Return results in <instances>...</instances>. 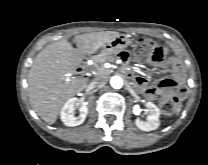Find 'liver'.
<instances>
[{"instance_id": "6515ba94", "label": "liver", "mask_w": 208, "mask_h": 165, "mask_svg": "<svg viewBox=\"0 0 208 165\" xmlns=\"http://www.w3.org/2000/svg\"><path fill=\"white\" fill-rule=\"evenodd\" d=\"M118 36L116 31L81 34L74 37L77 49L64 39L37 54L28 76L29 100L46 123H55L62 105L85 89L86 79L74 76L83 56Z\"/></svg>"}]
</instances>
